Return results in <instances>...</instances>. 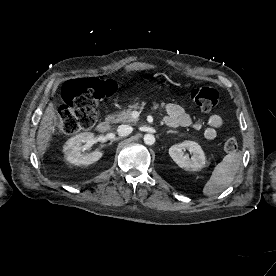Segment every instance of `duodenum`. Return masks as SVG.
Instances as JSON below:
<instances>
[{
    "label": "duodenum",
    "mask_w": 276,
    "mask_h": 276,
    "mask_svg": "<svg viewBox=\"0 0 276 276\" xmlns=\"http://www.w3.org/2000/svg\"><path fill=\"white\" fill-rule=\"evenodd\" d=\"M110 122L107 120H103L101 122H99V124L97 125V131L100 133H106L109 131L110 129Z\"/></svg>",
    "instance_id": "duodenum-1"
}]
</instances>
